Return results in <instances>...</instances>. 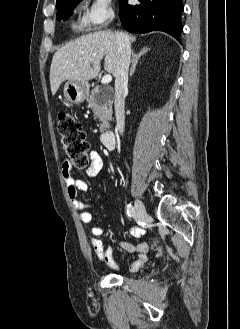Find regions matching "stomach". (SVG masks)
Wrapping results in <instances>:
<instances>
[{
    "mask_svg": "<svg viewBox=\"0 0 240 329\" xmlns=\"http://www.w3.org/2000/svg\"><path fill=\"white\" fill-rule=\"evenodd\" d=\"M87 82L67 81L64 85V97L72 104L82 103L88 96Z\"/></svg>",
    "mask_w": 240,
    "mask_h": 329,
    "instance_id": "stomach-1",
    "label": "stomach"
}]
</instances>
